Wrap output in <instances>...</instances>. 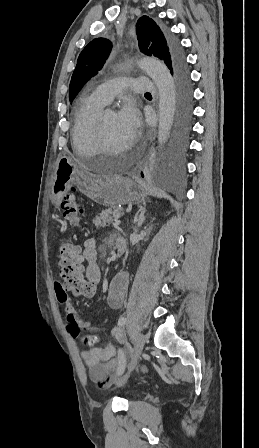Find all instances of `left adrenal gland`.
Masks as SVG:
<instances>
[{
  "label": "left adrenal gland",
  "mask_w": 259,
  "mask_h": 448,
  "mask_svg": "<svg viewBox=\"0 0 259 448\" xmlns=\"http://www.w3.org/2000/svg\"><path fill=\"white\" fill-rule=\"evenodd\" d=\"M145 212H147V210H141V212L138 216V222H137L138 228H140V226H142V224L145 220Z\"/></svg>",
  "instance_id": "left-adrenal-gland-1"
}]
</instances>
